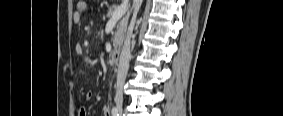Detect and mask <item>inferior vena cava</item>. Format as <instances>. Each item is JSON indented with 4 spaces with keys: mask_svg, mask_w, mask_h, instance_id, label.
Here are the masks:
<instances>
[{
    "mask_svg": "<svg viewBox=\"0 0 283 116\" xmlns=\"http://www.w3.org/2000/svg\"><path fill=\"white\" fill-rule=\"evenodd\" d=\"M141 4H142V0H133V6H132L133 17L128 27L127 33L125 35L124 44L122 46V51L120 54V60L118 64L117 88L115 95V102L117 104H121L123 101V86L129 69L131 37H132L136 16Z\"/></svg>",
    "mask_w": 283,
    "mask_h": 116,
    "instance_id": "inferior-vena-cava-1",
    "label": "inferior vena cava"
}]
</instances>
